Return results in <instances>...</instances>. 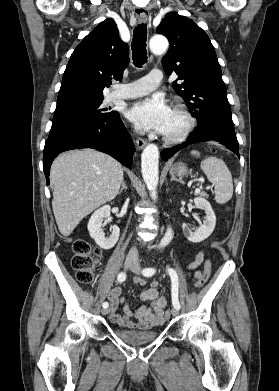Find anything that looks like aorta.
I'll return each mask as SVG.
<instances>
[{
    "label": "aorta",
    "instance_id": "aorta-1",
    "mask_svg": "<svg viewBox=\"0 0 279 391\" xmlns=\"http://www.w3.org/2000/svg\"><path fill=\"white\" fill-rule=\"evenodd\" d=\"M150 50L155 55L163 54L168 48V40L164 36H154L149 42ZM159 149L155 144H148L141 155V172L145 184L148 187L152 199L157 198V186L159 181ZM172 230L168 228L160 247H164L172 240Z\"/></svg>",
    "mask_w": 279,
    "mask_h": 391
}]
</instances>
